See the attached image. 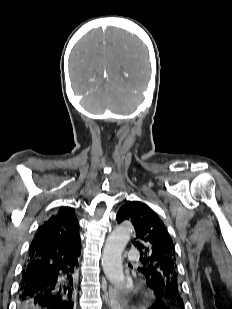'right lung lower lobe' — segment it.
Listing matches in <instances>:
<instances>
[{"mask_svg":"<svg viewBox=\"0 0 232 309\" xmlns=\"http://www.w3.org/2000/svg\"><path fill=\"white\" fill-rule=\"evenodd\" d=\"M77 257L55 260L40 269L27 262L19 288V309H73Z\"/></svg>","mask_w":232,"mask_h":309,"instance_id":"right-lung-lower-lobe-1","label":"right lung lower lobe"}]
</instances>
